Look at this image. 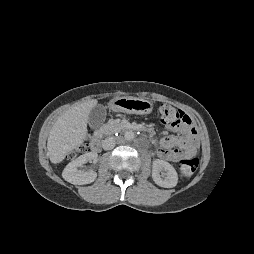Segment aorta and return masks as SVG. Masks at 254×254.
<instances>
[{
	"label": "aorta",
	"instance_id": "762f6f07",
	"mask_svg": "<svg viewBox=\"0 0 254 254\" xmlns=\"http://www.w3.org/2000/svg\"><path fill=\"white\" fill-rule=\"evenodd\" d=\"M134 132L133 131H127L125 134H124V138L125 140L127 141H132L134 139Z\"/></svg>",
	"mask_w": 254,
	"mask_h": 254
}]
</instances>
